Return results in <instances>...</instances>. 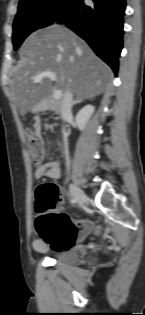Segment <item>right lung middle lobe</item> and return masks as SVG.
<instances>
[{"mask_svg": "<svg viewBox=\"0 0 145 315\" xmlns=\"http://www.w3.org/2000/svg\"><path fill=\"white\" fill-rule=\"evenodd\" d=\"M72 0H28L20 2L13 23V45L18 49L32 32L52 24Z\"/></svg>", "mask_w": 145, "mask_h": 315, "instance_id": "dd1d6c3e", "label": "right lung middle lobe"}]
</instances>
